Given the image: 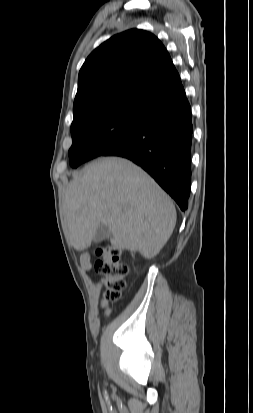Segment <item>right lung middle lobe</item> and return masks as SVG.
<instances>
[{
    "instance_id": "obj_1",
    "label": "right lung middle lobe",
    "mask_w": 253,
    "mask_h": 413,
    "mask_svg": "<svg viewBox=\"0 0 253 413\" xmlns=\"http://www.w3.org/2000/svg\"><path fill=\"white\" fill-rule=\"evenodd\" d=\"M150 112L131 107H111L73 119L69 163L80 164L101 156L146 123Z\"/></svg>"
}]
</instances>
